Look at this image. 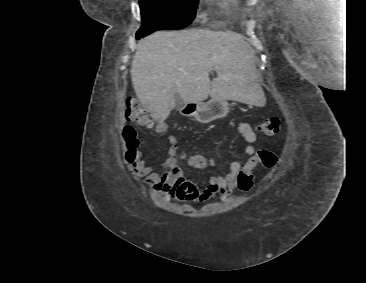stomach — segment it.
<instances>
[{"mask_svg":"<svg viewBox=\"0 0 366 283\" xmlns=\"http://www.w3.org/2000/svg\"><path fill=\"white\" fill-rule=\"evenodd\" d=\"M190 108L191 115L202 124L210 123L216 119L223 118L229 110V103L225 99L211 98L205 103H187L180 109L185 110Z\"/></svg>","mask_w":366,"mask_h":283,"instance_id":"1","label":"stomach"}]
</instances>
